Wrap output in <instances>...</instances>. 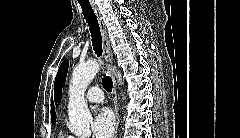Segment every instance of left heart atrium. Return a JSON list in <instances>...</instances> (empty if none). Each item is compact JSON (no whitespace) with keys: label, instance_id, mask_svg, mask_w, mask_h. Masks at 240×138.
<instances>
[{"label":"left heart atrium","instance_id":"1","mask_svg":"<svg viewBox=\"0 0 240 138\" xmlns=\"http://www.w3.org/2000/svg\"><path fill=\"white\" fill-rule=\"evenodd\" d=\"M114 130V118L107 108H101L95 114L91 131L94 138H110Z\"/></svg>","mask_w":240,"mask_h":138}]
</instances>
